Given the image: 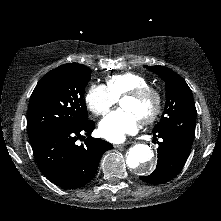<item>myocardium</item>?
<instances>
[{"mask_svg": "<svg viewBox=\"0 0 221 221\" xmlns=\"http://www.w3.org/2000/svg\"><path fill=\"white\" fill-rule=\"evenodd\" d=\"M126 97L133 98L136 100H142V99L151 97L154 100L153 110L147 116L140 119L143 124L152 123L153 121L157 119V117L161 113V110H162L161 94L157 89L151 86H145V87H141V88H137L132 91H129L122 96V99Z\"/></svg>", "mask_w": 221, "mask_h": 221, "instance_id": "1", "label": "myocardium"}]
</instances>
